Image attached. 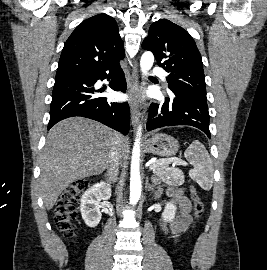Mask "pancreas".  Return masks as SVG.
<instances>
[{
    "label": "pancreas",
    "instance_id": "pancreas-1",
    "mask_svg": "<svg viewBox=\"0 0 267 270\" xmlns=\"http://www.w3.org/2000/svg\"><path fill=\"white\" fill-rule=\"evenodd\" d=\"M152 168L155 176L160 177L168 184H174V176L172 174L173 169L169 168L167 163H161L160 160L153 163Z\"/></svg>",
    "mask_w": 267,
    "mask_h": 270
}]
</instances>
